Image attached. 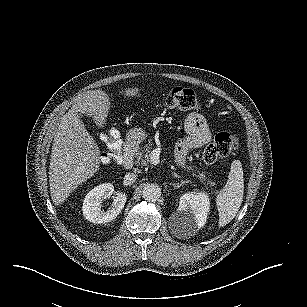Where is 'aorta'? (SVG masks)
I'll return each mask as SVG.
<instances>
[{"label": "aorta", "instance_id": "obj_1", "mask_svg": "<svg viewBox=\"0 0 307 307\" xmlns=\"http://www.w3.org/2000/svg\"><path fill=\"white\" fill-rule=\"evenodd\" d=\"M143 197L148 202H155L158 198L161 197L162 190L159 185L156 184H147L143 189Z\"/></svg>", "mask_w": 307, "mask_h": 307}]
</instances>
